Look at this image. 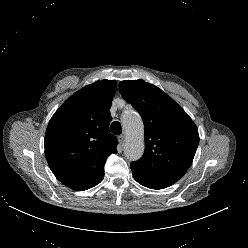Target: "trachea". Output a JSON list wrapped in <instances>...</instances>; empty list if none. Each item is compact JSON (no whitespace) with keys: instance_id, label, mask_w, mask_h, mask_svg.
<instances>
[{"instance_id":"obj_1","label":"trachea","mask_w":248,"mask_h":248,"mask_svg":"<svg viewBox=\"0 0 248 248\" xmlns=\"http://www.w3.org/2000/svg\"><path fill=\"white\" fill-rule=\"evenodd\" d=\"M110 130L113 134L120 135L122 133V127H121L120 122H118V121L112 122V124L110 126Z\"/></svg>"}]
</instances>
